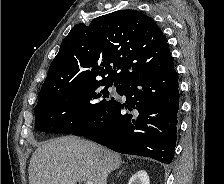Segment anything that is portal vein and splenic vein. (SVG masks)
<instances>
[{
    "label": "portal vein and splenic vein",
    "mask_w": 224,
    "mask_h": 184,
    "mask_svg": "<svg viewBox=\"0 0 224 184\" xmlns=\"http://www.w3.org/2000/svg\"><path fill=\"white\" fill-rule=\"evenodd\" d=\"M86 184H93L92 181H86Z\"/></svg>",
    "instance_id": "portal-vein-and-splenic-vein-1"
}]
</instances>
